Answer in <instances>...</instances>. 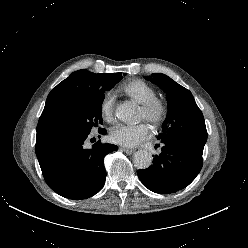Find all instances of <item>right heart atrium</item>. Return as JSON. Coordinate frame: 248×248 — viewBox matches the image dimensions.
I'll list each match as a JSON object with an SVG mask.
<instances>
[{
	"mask_svg": "<svg viewBox=\"0 0 248 248\" xmlns=\"http://www.w3.org/2000/svg\"><path fill=\"white\" fill-rule=\"evenodd\" d=\"M114 97L111 93H106L100 103V113L104 121L111 123L114 119Z\"/></svg>",
	"mask_w": 248,
	"mask_h": 248,
	"instance_id": "right-heart-atrium-1",
	"label": "right heart atrium"
}]
</instances>
